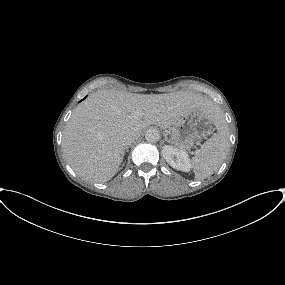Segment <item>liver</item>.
Instances as JSON below:
<instances>
[{
	"label": "liver",
	"instance_id": "obj_1",
	"mask_svg": "<svg viewBox=\"0 0 285 285\" xmlns=\"http://www.w3.org/2000/svg\"><path fill=\"white\" fill-rule=\"evenodd\" d=\"M194 109L203 110L216 120L218 107L191 92L136 94L100 90L78 105L67 122L62 137L64 156L81 178L106 182L121 163L125 148L122 136L140 135L150 125L167 129ZM135 111L142 115L133 117Z\"/></svg>",
	"mask_w": 285,
	"mask_h": 285
}]
</instances>
